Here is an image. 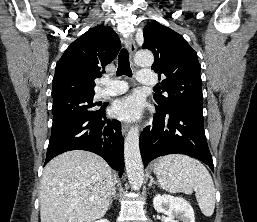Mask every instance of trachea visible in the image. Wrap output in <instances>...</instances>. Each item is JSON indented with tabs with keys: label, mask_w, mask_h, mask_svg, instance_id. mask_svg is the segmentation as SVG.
<instances>
[{
	"label": "trachea",
	"mask_w": 257,
	"mask_h": 222,
	"mask_svg": "<svg viewBox=\"0 0 257 222\" xmlns=\"http://www.w3.org/2000/svg\"><path fill=\"white\" fill-rule=\"evenodd\" d=\"M117 76L126 75L131 77L132 71L130 68L129 62V53L128 51L123 48L121 49L119 56H118V68H117Z\"/></svg>",
	"instance_id": "obj_1"
}]
</instances>
